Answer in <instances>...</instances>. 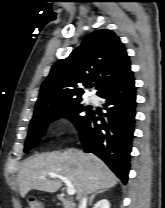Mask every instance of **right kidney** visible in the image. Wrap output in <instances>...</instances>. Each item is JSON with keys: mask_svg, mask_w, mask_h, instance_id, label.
Segmentation results:
<instances>
[{"mask_svg": "<svg viewBox=\"0 0 165 208\" xmlns=\"http://www.w3.org/2000/svg\"><path fill=\"white\" fill-rule=\"evenodd\" d=\"M93 208H110V203L107 199L98 201Z\"/></svg>", "mask_w": 165, "mask_h": 208, "instance_id": "1", "label": "right kidney"}]
</instances>
